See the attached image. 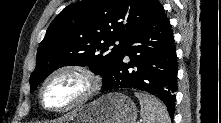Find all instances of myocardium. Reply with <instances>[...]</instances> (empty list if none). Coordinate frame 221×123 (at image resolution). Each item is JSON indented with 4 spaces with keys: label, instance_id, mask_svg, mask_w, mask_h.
<instances>
[{
    "label": "myocardium",
    "instance_id": "obj_1",
    "mask_svg": "<svg viewBox=\"0 0 221 123\" xmlns=\"http://www.w3.org/2000/svg\"><path fill=\"white\" fill-rule=\"evenodd\" d=\"M62 73H75V74L82 76L84 80L86 81L87 87L84 93L76 101L72 102L71 104L64 106V107H58V108L50 107L45 103V100H44L45 88L54 77ZM100 88H101V79L92 70L82 65L68 64V65H63L54 69L44 79L39 90V100L43 108L46 109L47 111L53 112V113H63V112H68V111L77 109L83 106L84 104H86L87 102H89L92 98L96 96Z\"/></svg>",
    "mask_w": 221,
    "mask_h": 123
}]
</instances>
